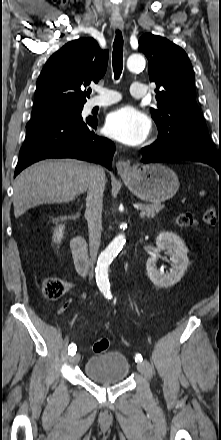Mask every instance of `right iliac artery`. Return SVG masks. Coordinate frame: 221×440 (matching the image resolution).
Wrapping results in <instances>:
<instances>
[{"label":"right iliac artery","instance_id":"right-iliac-artery-1","mask_svg":"<svg viewBox=\"0 0 221 440\" xmlns=\"http://www.w3.org/2000/svg\"><path fill=\"white\" fill-rule=\"evenodd\" d=\"M68 349H69L68 354H69V355H72V356H73V355L76 353V351H77V347H76L74 344H70L69 347H68Z\"/></svg>","mask_w":221,"mask_h":440}]
</instances>
